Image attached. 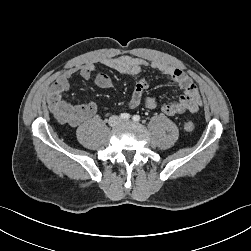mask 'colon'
<instances>
[{"instance_id":"colon-1","label":"colon","mask_w":251,"mask_h":251,"mask_svg":"<svg viewBox=\"0 0 251 251\" xmlns=\"http://www.w3.org/2000/svg\"><path fill=\"white\" fill-rule=\"evenodd\" d=\"M184 129L187 131V132H191V131H193V129H194V124L192 123V122H186L185 124H184Z\"/></svg>"}]
</instances>
